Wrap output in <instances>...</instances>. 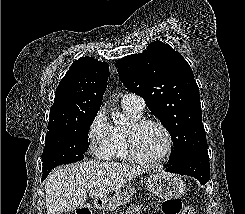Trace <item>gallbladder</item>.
<instances>
[{
  "mask_svg": "<svg viewBox=\"0 0 245 214\" xmlns=\"http://www.w3.org/2000/svg\"><path fill=\"white\" fill-rule=\"evenodd\" d=\"M56 214H62V213L57 212Z\"/></svg>",
  "mask_w": 245,
  "mask_h": 214,
  "instance_id": "1",
  "label": "gallbladder"
}]
</instances>
